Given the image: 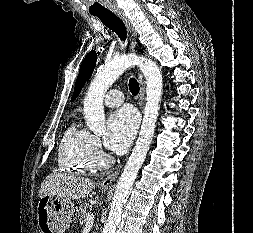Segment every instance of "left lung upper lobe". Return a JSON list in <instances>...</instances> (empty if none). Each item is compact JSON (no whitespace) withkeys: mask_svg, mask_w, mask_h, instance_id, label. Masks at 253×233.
Instances as JSON below:
<instances>
[{"mask_svg":"<svg viewBox=\"0 0 253 233\" xmlns=\"http://www.w3.org/2000/svg\"><path fill=\"white\" fill-rule=\"evenodd\" d=\"M96 60L97 54L95 51H91L85 56L80 67L79 75L76 80L72 101L77 97L86 80L89 79V77L91 76L96 65Z\"/></svg>","mask_w":253,"mask_h":233,"instance_id":"obj_1","label":"left lung upper lobe"}]
</instances>
